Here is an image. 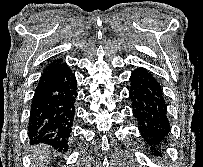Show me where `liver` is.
I'll use <instances>...</instances> for the list:
<instances>
[{"label": "liver", "instance_id": "1", "mask_svg": "<svg viewBox=\"0 0 203 167\" xmlns=\"http://www.w3.org/2000/svg\"><path fill=\"white\" fill-rule=\"evenodd\" d=\"M51 151L49 146L40 144L33 148L32 156L34 160L33 167H47L49 163Z\"/></svg>", "mask_w": 203, "mask_h": 167}]
</instances>
